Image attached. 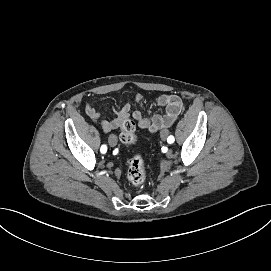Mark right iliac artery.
<instances>
[{
	"label": "right iliac artery",
	"instance_id": "82829eb1",
	"mask_svg": "<svg viewBox=\"0 0 271 271\" xmlns=\"http://www.w3.org/2000/svg\"><path fill=\"white\" fill-rule=\"evenodd\" d=\"M107 151V146L106 145H102L101 149H100V154L101 155H105Z\"/></svg>",
	"mask_w": 271,
	"mask_h": 271
}]
</instances>
